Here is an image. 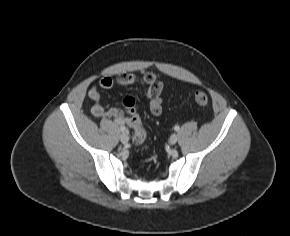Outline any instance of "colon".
I'll return each mask as SVG.
<instances>
[{"instance_id": "obj_1", "label": "colon", "mask_w": 290, "mask_h": 236, "mask_svg": "<svg viewBox=\"0 0 290 236\" xmlns=\"http://www.w3.org/2000/svg\"><path fill=\"white\" fill-rule=\"evenodd\" d=\"M208 100V95L204 91L199 90L194 93V101L197 105L206 106ZM122 104L128 113V120L133 129L132 141L135 145H142L146 140L147 133L136 113L135 100L132 97H125Z\"/></svg>"}]
</instances>
